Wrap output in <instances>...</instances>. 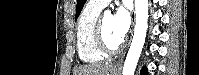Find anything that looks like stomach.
I'll list each match as a JSON object with an SVG mask.
<instances>
[{
  "label": "stomach",
  "mask_w": 199,
  "mask_h": 75,
  "mask_svg": "<svg viewBox=\"0 0 199 75\" xmlns=\"http://www.w3.org/2000/svg\"><path fill=\"white\" fill-rule=\"evenodd\" d=\"M110 73H111V75H118V71L115 68H112Z\"/></svg>",
  "instance_id": "0dacf381"
}]
</instances>
